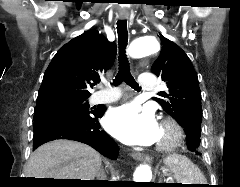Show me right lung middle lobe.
Instances as JSON below:
<instances>
[{
    "label": "right lung middle lobe",
    "mask_w": 240,
    "mask_h": 187,
    "mask_svg": "<svg viewBox=\"0 0 240 187\" xmlns=\"http://www.w3.org/2000/svg\"><path fill=\"white\" fill-rule=\"evenodd\" d=\"M87 99L88 97L60 99L37 105L34 110V121L52 114H60L73 119L89 118L95 114L96 109H90Z\"/></svg>",
    "instance_id": "obj_1"
}]
</instances>
